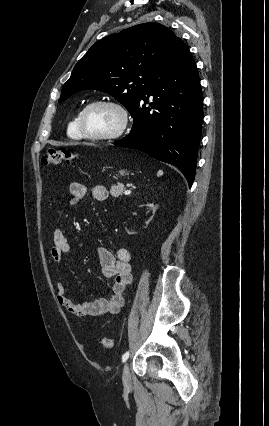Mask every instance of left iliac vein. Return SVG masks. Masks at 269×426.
<instances>
[{"label":"left iliac vein","mask_w":269,"mask_h":426,"mask_svg":"<svg viewBox=\"0 0 269 426\" xmlns=\"http://www.w3.org/2000/svg\"><path fill=\"white\" fill-rule=\"evenodd\" d=\"M122 381L125 388H130L132 385L130 369L128 363L124 364L123 372H122Z\"/></svg>","instance_id":"1"}]
</instances>
